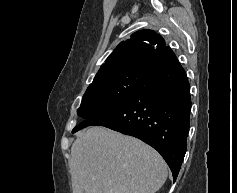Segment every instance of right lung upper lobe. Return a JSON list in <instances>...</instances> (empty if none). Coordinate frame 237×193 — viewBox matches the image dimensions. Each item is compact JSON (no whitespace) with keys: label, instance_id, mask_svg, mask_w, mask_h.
I'll return each mask as SVG.
<instances>
[{"label":"right lung upper lobe","instance_id":"right-lung-upper-lobe-1","mask_svg":"<svg viewBox=\"0 0 237 193\" xmlns=\"http://www.w3.org/2000/svg\"><path fill=\"white\" fill-rule=\"evenodd\" d=\"M172 50L163 38L152 30L135 32L122 41L107 58L93 82L131 72H144L162 55Z\"/></svg>","mask_w":237,"mask_h":193}]
</instances>
